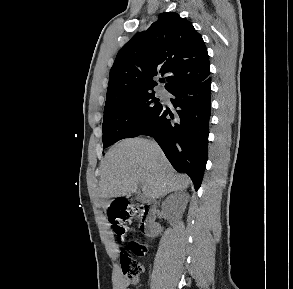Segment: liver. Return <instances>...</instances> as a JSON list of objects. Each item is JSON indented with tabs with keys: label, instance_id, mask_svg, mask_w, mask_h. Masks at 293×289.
<instances>
[{
	"label": "liver",
	"instance_id": "obj_1",
	"mask_svg": "<svg viewBox=\"0 0 293 289\" xmlns=\"http://www.w3.org/2000/svg\"><path fill=\"white\" fill-rule=\"evenodd\" d=\"M190 179L177 174L158 144L144 138H128L106 153L101 167L100 197L127 196L142 186L144 198L155 200L188 188Z\"/></svg>",
	"mask_w": 293,
	"mask_h": 289
}]
</instances>
